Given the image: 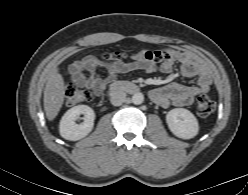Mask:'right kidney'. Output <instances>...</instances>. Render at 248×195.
I'll return each instance as SVG.
<instances>
[{
    "mask_svg": "<svg viewBox=\"0 0 248 195\" xmlns=\"http://www.w3.org/2000/svg\"><path fill=\"white\" fill-rule=\"evenodd\" d=\"M80 115H84L83 122L77 124L75 121ZM95 113L87 105H78L69 109L60 120V135L71 141H77L87 136L93 129Z\"/></svg>",
    "mask_w": 248,
    "mask_h": 195,
    "instance_id": "1",
    "label": "right kidney"
}]
</instances>
